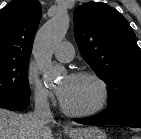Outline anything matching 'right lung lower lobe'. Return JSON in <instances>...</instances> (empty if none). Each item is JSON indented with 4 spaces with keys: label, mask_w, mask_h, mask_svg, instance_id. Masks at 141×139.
<instances>
[{
    "label": "right lung lower lobe",
    "mask_w": 141,
    "mask_h": 139,
    "mask_svg": "<svg viewBox=\"0 0 141 139\" xmlns=\"http://www.w3.org/2000/svg\"><path fill=\"white\" fill-rule=\"evenodd\" d=\"M29 96L0 97V108L18 111L29 105Z\"/></svg>",
    "instance_id": "obj_1"
}]
</instances>
